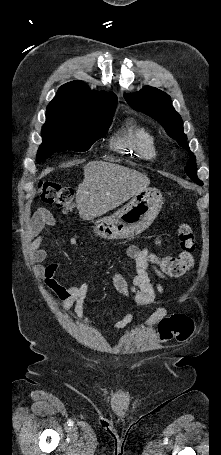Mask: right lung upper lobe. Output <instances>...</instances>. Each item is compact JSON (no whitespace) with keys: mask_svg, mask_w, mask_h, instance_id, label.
<instances>
[{"mask_svg":"<svg viewBox=\"0 0 221 455\" xmlns=\"http://www.w3.org/2000/svg\"><path fill=\"white\" fill-rule=\"evenodd\" d=\"M117 106L113 93L94 92L81 81L61 86L49 103L46 115L67 119H87Z\"/></svg>","mask_w":221,"mask_h":455,"instance_id":"1","label":"right lung upper lobe"}]
</instances>
